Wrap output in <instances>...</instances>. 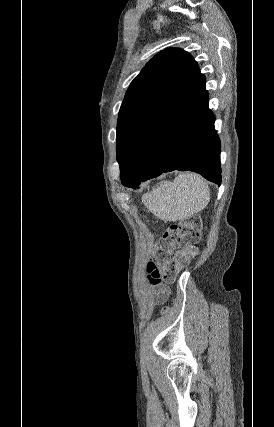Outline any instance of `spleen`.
Segmentation results:
<instances>
[{
	"label": "spleen",
	"mask_w": 274,
	"mask_h": 427,
	"mask_svg": "<svg viewBox=\"0 0 274 427\" xmlns=\"http://www.w3.org/2000/svg\"><path fill=\"white\" fill-rule=\"evenodd\" d=\"M210 198L209 186L198 174H179L173 182H161L142 198L147 210L164 221L188 219L206 208Z\"/></svg>",
	"instance_id": "1"
}]
</instances>
